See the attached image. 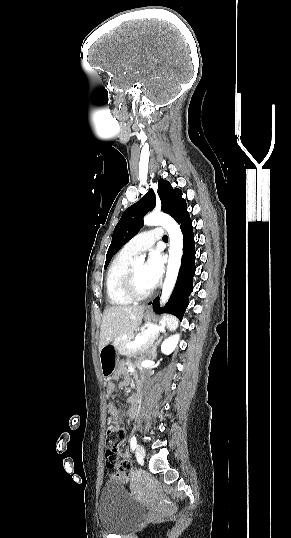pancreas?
Listing matches in <instances>:
<instances>
[{
	"instance_id": "1",
	"label": "pancreas",
	"mask_w": 291,
	"mask_h": 538,
	"mask_svg": "<svg viewBox=\"0 0 291 538\" xmlns=\"http://www.w3.org/2000/svg\"><path fill=\"white\" fill-rule=\"evenodd\" d=\"M142 334H143V332L141 333V335ZM126 336H127V339H123V337L120 336L119 339L114 342V346L118 350V353L121 354V355H131V354H134V353H136L138 351L145 350L152 342L155 341V339L158 337V333L151 334L148 337V341L144 345H142L140 347H137V348H127L126 347V344L130 340H134L136 338L137 334L136 333H128V334H126Z\"/></svg>"
}]
</instances>
